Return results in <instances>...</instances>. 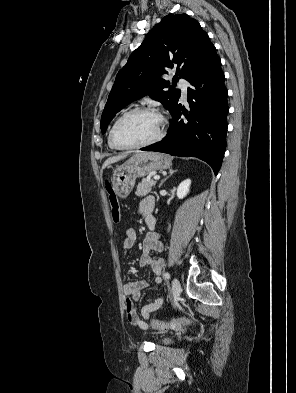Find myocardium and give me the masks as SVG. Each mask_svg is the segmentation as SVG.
I'll list each match as a JSON object with an SVG mask.
<instances>
[{
    "label": "myocardium",
    "instance_id": "1",
    "mask_svg": "<svg viewBox=\"0 0 296 393\" xmlns=\"http://www.w3.org/2000/svg\"><path fill=\"white\" fill-rule=\"evenodd\" d=\"M137 113H151V114H155L159 117L160 119V128L157 132V134L150 140L143 142V143H139V144H134V145H124L121 144L118 140H117V129L120 126V124L128 117L137 114ZM165 127H166V120L165 118L162 116V114L160 112H158L156 109L154 108H150V107H137L134 109H131L127 112H125L124 114H122L113 124L111 131H110V140L111 143L113 144V146L117 149L120 150H134V149H140V148H144L147 146H150L152 144L157 143L158 141H160L165 133Z\"/></svg>",
    "mask_w": 296,
    "mask_h": 393
}]
</instances>
